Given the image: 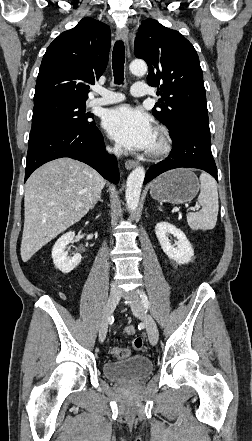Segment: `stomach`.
Instances as JSON below:
<instances>
[{
    "label": "stomach",
    "instance_id": "0dacf381",
    "mask_svg": "<svg viewBox=\"0 0 252 441\" xmlns=\"http://www.w3.org/2000/svg\"><path fill=\"white\" fill-rule=\"evenodd\" d=\"M200 188L198 178L189 169H174L156 178L150 195L160 202L182 204L191 201Z\"/></svg>",
    "mask_w": 252,
    "mask_h": 441
}]
</instances>
